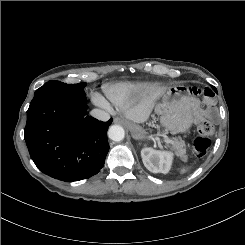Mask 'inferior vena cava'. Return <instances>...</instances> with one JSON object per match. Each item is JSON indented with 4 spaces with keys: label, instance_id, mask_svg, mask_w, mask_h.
<instances>
[{
    "label": "inferior vena cava",
    "instance_id": "inferior-vena-cava-1",
    "mask_svg": "<svg viewBox=\"0 0 245 245\" xmlns=\"http://www.w3.org/2000/svg\"><path fill=\"white\" fill-rule=\"evenodd\" d=\"M90 114L92 117H94L100 121H108L110 119V115L101 109H93L90 112Z\"/></svg>",
    "mask_w": 245,
    "mask_h": 245
}]
</instances>
